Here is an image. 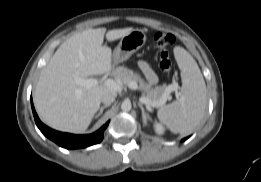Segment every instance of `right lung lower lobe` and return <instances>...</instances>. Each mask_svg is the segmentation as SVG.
I'll list each match as a JSON object with an SVG mask.
<instances>
[{
	"label": "right lung lower lobe",
	"mask_w": 261,
	"mask_h": 182,
	"mask_svg": "<svg viewBox=\"0 0 261 182\" xmlns=\"http://www.w3.org/2000/svg\"><path fill=\"white\" fill-rule=\"evenodd\" d=\"M32 110L34 119L36 122L37 127L40 129V131L49 139L57 143L59 146L64 147L66 149H76V148H85L94 144H97L102 141L103 139V132L105 128L108 126L109 121L102 126L98 131H96L93 134L89 135H73L68 133H62L55 131L46 125H44L33 106V102L31 101Z\"/></svg>",
	"instance_id": "obj_1"
}]
</instances>
